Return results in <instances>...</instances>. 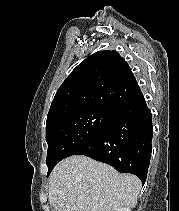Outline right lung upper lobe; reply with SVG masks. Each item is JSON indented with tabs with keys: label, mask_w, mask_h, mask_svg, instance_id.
Wrapping results in <instances>:
<instances>
[{
	"label": "right lung upper lobe",
	"mask_w": 179,
	"mask_h": 211,
	"mask_svg": "<svg viewBox=\"0 0 179 211\" xmlns=\"http://www.w3.org/2000/svg\"><path fill=\"white\" fill-rule=\"evenodd\" d=\"M139 90L128 63L116 51L96 52L82 61L59 87L47 124L85 109L116 110Z\"/></svg>",
	"instance_id": "obj_1"
}]
</instances>
